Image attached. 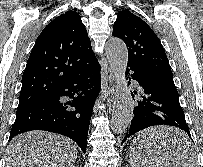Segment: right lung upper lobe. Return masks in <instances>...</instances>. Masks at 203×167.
I'll use <instances>...</instances> for the list:
<instances>
[{
	"label": "right lung upper lobe",
	"instance_id": "cb5924a9",
	"mask_svg": "<svg viewBox=\"0 0 203 167\" xmlns=\"http://www.w3.org/2000/svg\"><path fill=\"white\" fill-rule=\"evenodd\" d=\"M96 60L78 13L67 11L38 36L22 76L20 107L47 100L73 74Z\"/></svg>",
	"mask_w": 203,
	"mask_h": 167
}]
</instances>
